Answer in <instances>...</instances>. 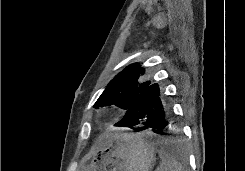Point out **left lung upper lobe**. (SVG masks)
I'll use <instances>...</instances> for the list:
<instances>
[{
  "label": "left lung upper lobe",
  "mask_w": 245,
  "mask_h": 171,
  "mask_svg": "<svg viewBox=\"0 0 245 171\" xmlns=\"http://www.w3.org/2000/svg\"><path fill=\"white\" fill-rule=\"evenodd\" d=\"M143 74L144 69L139 63L126 67L110 81L94 107L114 104L127 111L131 109L140 93L151 83L149 81L140 82V77Z\"/></svg>",
  "instance_id": "5c2ea615"
}]
</instances>
